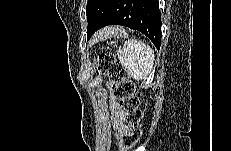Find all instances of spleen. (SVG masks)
Masks as SVG:
<instances>
[{
  "mask_svg": "<svg viewBox=\"0 0 231 151\" xmlns=\"http://www.w3.org/2000/svg\"><path fill=\"white\" fill-rule=\"evenodd\" d=\"M122 67L135 80L146 79L154 65V51L144 41L128 39L117 51Z\"/></svg>",
  "mask_w": 231,
  "mask_h": 151,
  "instance_id": "1",
  "label": "spleen"
}]
</instances>
